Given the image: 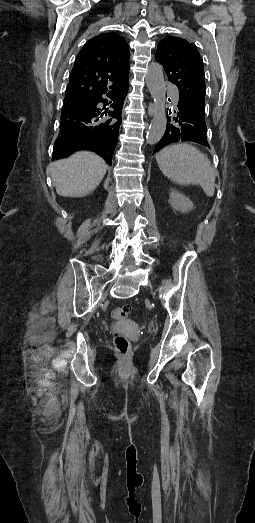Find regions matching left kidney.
I'll use <instances>...</instances> for the list:
<instances>
[{
	"label": "left kidney",
	"instance_id": "5707ae66",
	"mask_svg": "<svg viewBox=\"0 0 255 523\" xmlns=\"http://www.w3.org/2000/svg\"><path fill=\"white\" fill-rule=\"evenodd\" d=\"M169 196V202L174 210H178V212H190V210H193L194 206L187 196H183V194H179L175 190H171Z\"/></svg>",
	"mask_w": 255,
	"mask_h": 523
}]
</instances>
